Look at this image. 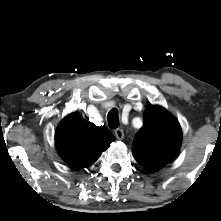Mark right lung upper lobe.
<instances>
[{
	"mask_svg": "<svg viewBox=\"0 0 221 221\" xmlns=\"http://www.w3.org/2000/svg\"><path fill=\"white\" fill-rule=\"evenodd\" d=\"M113 141L114 136L103 126L86 121L76 112L64 118L55 135L59 155L74 169L92 165Z\"/></svg>",
	"mask_w": 221,
	"mask_h": 221,
	"instance_id": "right-lung-upper-lobe-1",
	"label": "right lung upper lobe"
}]
</instances>
